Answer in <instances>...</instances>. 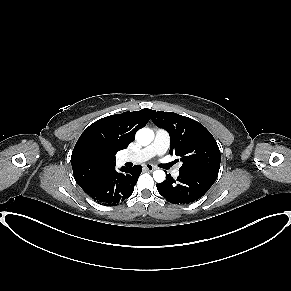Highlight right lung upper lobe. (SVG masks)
I'll return each instance as SVG.
<instances>
[{
	"label": "right lung upper lobe",
	"mask_w": 291,
	"mask_h": 291,
	"mask_svg": "<svg viewBox=\"0 0 291 291\" xmlns=\"http://www.w3.org/2000/svg\"><path fill=\"white\" fill-rule=\"evenodd\" d=\"M152 111L142 109L107 116L85 129L71 155L74 178L81 188L115 170L116 153L134 140Z\"/></svg>",
	"instance_id": "cb5924a9"
}]
</instances>
